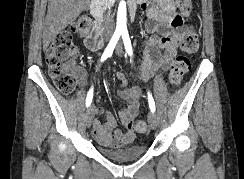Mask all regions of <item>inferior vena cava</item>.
Segmentation results:
<instances>
[{
  "label": "inferior vena cava",
  "mask_w": 244,
  "mask_h": 179,
  "mask_svg": "<svg viewBox=\"0 0 244 179\" xmlns=\"http://www.w3.org/2000/svg\"><path fill=\"white\" fill-rule=\"evenodd\" d=\"M113 26H114V24H112V22H110V20H109V22H107V24H105V30H106L107 34H108V32H111V30H113Z\"/></svg>",
  "instance_id": "inferior-vena-cava-1"
}]
</instances>
